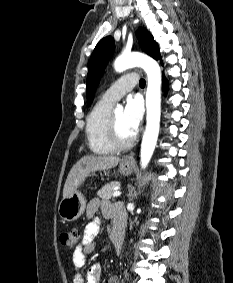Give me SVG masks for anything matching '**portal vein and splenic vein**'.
Masks as SVG:
<instances>
[{"label": "portal vein and splenic vein", "instance_id": "18ae733b", "mask_svg": "<svg viewBox=\"0 0 233 283\" xmlns=\"http://www.w3.org/2000/svg\"><path fill=\"white\" fill-rule=\"evenodd\" d=\"M121 195V191H119V190H116V191H114V193H113V196L114 197H118V196H120Z\"/></svg>", "mask_w": 233, "mask_h": 283}]
</instances>
